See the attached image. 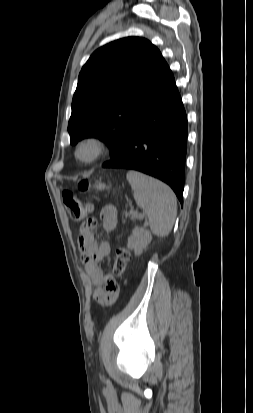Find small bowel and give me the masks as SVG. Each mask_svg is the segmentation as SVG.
<instances>
[{"label": "small bowel", "instance_id": "obj_1", "mask_svg": "<svg viewBox=\"0 0 253 413\" xmlns=\"http://www.w3.org/2000/svg\"><path fill=\"white\" fill-rule=\"evenodd\" d=\"M102 229L105 232L115 230L118 213L111 205H105L100 212ZM96 221L90 219L83 223L78 235V248L84 263L85 271L95 286L94 297L102 303L104 309H111L117 303L120 286L117 273H105L99 267V262L111 253L108 241L97 242L94 236Z\"/></svg>", "mask_w": 253, "mask_h": 413}]
</instances>
